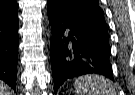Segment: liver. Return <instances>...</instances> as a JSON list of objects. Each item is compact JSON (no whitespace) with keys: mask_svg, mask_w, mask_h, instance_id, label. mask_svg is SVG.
<instances>
[{"mask_svg":"<svg viewBox=\"0 0 135 95\" xmlns=\"http://www.w3.org/2000/svg\"><path fill=\"white\" fill-rule=\"evenodd\" d=\"M0 95H11L10 87L1 81H0Z\"/></svg>","mask_w":135,"mask_h":95,"instance_id":"1","label":"liver"}]
</instances>
